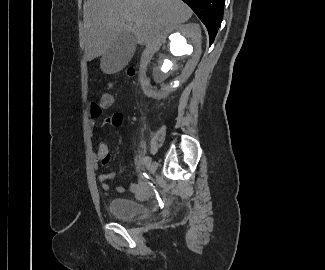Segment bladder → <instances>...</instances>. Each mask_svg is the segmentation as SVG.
I'll return each instance as SVG.
<instances>
[{
  "label": "bladder",
  "instance_id": "bladder-1",
  "mask_svg": "<svg viewBox=\"0 0 325 270\" xmlns=\"http://www.w3.org/2000/svg\"><path fill=\"white\" fill-rule=\"evenodd\" d=\"M110 213L120 219L133 221L147 217V207L133 199L115 197L108 204Z\"/></svg>",
  "mask_w": 325,
  "mask_h": 270
}]
</instances>
